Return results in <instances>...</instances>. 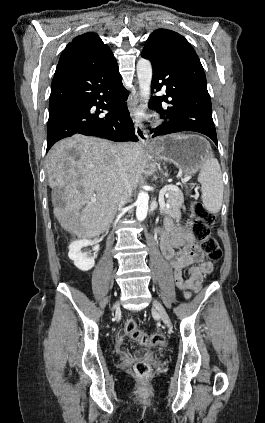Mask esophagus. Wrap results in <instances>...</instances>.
<instances>
[{
	"mask_svg": "<svg viewBox=\"0 0 265 423\" xmlns=\"http://www.w3.org/2000/svg\"><path fill=\"white\" fill-rule=\"evenodd\" d=\"M128 104L131 110V116L134 123L135 133L139 141L145 146L150 145L149 136L143 128V124H142L140 116L137 115V112H139L142 108L140 93L137 92L136 94L129 95Z\"/></svg>",
	"mask_w": 265,
	"mask_h": 423,
	"instance_id": "1",
	"label": "esophagus"
}]
</instances>
